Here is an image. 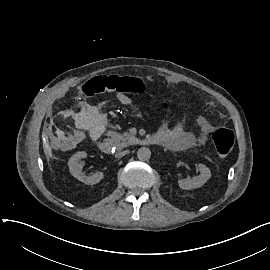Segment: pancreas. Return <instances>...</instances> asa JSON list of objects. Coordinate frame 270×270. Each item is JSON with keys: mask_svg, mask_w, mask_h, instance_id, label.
I'll return each instance as SVG.
<instances>
[{"mask_svg": "<svg viewBox=\"0 0 270 270\" xmlns=\"http://www.w3.org/2000/svg\"><path fill=\"white\" fill-rule=\"evenodd\" d=\"M111 138L114 140V145L117 147L118 150H121L124 147L130 145V140L133 139V136L130 135L128 132L123 134H118L116 132L111 134Z\"/></svg>", "mask_w": 270, "mask_h": 270, "instance_id": "pancreas-1", "label": "pancreas"}]
</instances>
